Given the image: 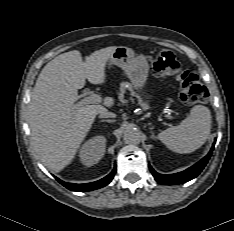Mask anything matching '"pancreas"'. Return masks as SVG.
I'll list each match as a JSON object with an SVG mask.
<instances>
[{
    "mask_svg": "<svg viewBox=\"0 0 234 231\" xmlns=\"http://www.w3.org/2000/svg\"><path fill=\"white\" fill-rule=\"evenodd\" d=\"M127 89L130 90V91H132V87H131L130 83H128V82H122L120 84V87H119V91H120L119 94L120 95L124 94Z\"/></svg>",
    "mask_w": 234,
    "mask_h": 231,
    "instance_id": "obj_1",
    "label": "pancreas"
}]
</instances>
